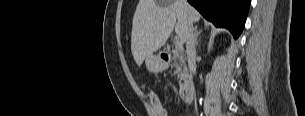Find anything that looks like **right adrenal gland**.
I'll use <instances>...</instances> for the list:
<instances>
[{"instance_id":"1","label":"right adrenal gland","mask_w":305,"mask_h":116,"mask_svg":"<svg viewBox=\"0 0 305 116\" xmlns=\"http://www.w3.org/2000/svg\"><path fill=\"white\" fill-rule=\"evenodd\" d=\"M201 31H198L197 30V26H195V29H194V35H195V42H196V45H198V36L200 35Z\"/></svg>"}]
</instances>
